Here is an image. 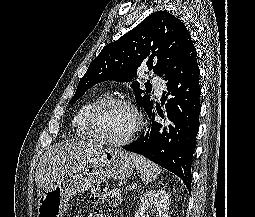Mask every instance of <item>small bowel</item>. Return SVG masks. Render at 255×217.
Wrapping results in <instances>:
<instances>
[{"label":"small bowel","mask_w":255,"mask_h":217,"mask_svg":"<svg viewBox=\"0 0 255 217\" xmlns=\"http://www.w3.org/2000/svg\"><path fill=\"white\" fill-rule=\"evenodd\" d=\"M88 217H111V216H108L106 214H92V215H89Z\"/></svg>","instance_id":"obj_1"}]
</instances>
